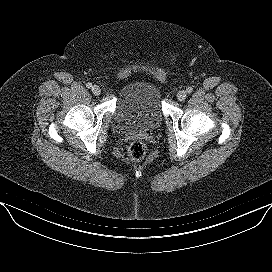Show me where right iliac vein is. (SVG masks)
<instances>
[{
	"mask_svg": "<svg viewBox=\"0 0 272 272\" xmlns=\"http://www.w3.org/2000/svg\"><path fill=\"white\" fill-rule=\"evenodd\" d=\"M92 92L94 95L98 96L101 94V88L99 86L95 85L92 87Z\"/></svg>",
	"mask_w": 272,
	"mask_h": 272,
	"instance_id": "1",
	"label": "right iliac vein"
}]
</instances>
